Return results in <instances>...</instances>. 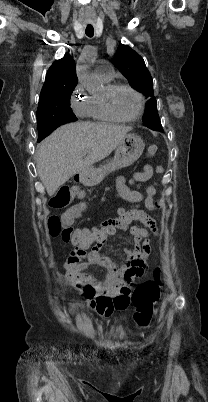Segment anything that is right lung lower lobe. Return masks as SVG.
<instances>
[{"label": "right lung lower lobe", "mask_w": 208, "mask_h": 402, "mask_svg": "<svg viewBox=\"0 0 208 402\" xmlns=\"http://www.w3.org/2000/svg\"><path fill=\"white\" fill-rule=\"evenodd\" d=\"M65 124L64 122H60L58 120H45L38 123V130L40 132H44L45 137L51 134L56 128L60 125Z\"/></svg>", "instance_id": "right-lung-lower-lobe-1"}]
</instances>
